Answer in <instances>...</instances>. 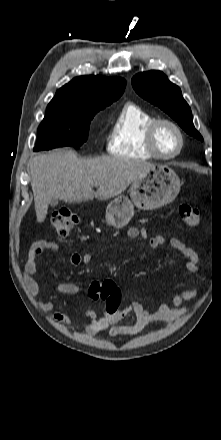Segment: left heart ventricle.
I'll return each instance as SVG.
<instances>
[{"label": "left heart ventricle", "instance_id": "obj_1", "mask_svg": "<svg viewBox=\"0 0 221 440\" xmlns=\"http://www.w3.org/2000/svg\"><path fill=\"white\" fill-rule=\"evenodd\" d=\"M156 144L164 154L175 152L179 145L176 131L169 125L160 126L157 132Z\"/></svg>", "mask_w": 221, "mask_h": 440}]
</instances>
